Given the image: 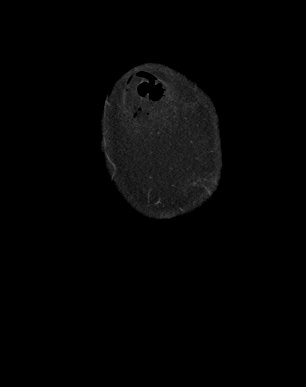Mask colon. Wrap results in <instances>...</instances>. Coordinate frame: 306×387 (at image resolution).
Wrapping results in <instances>:
<instances>
[{
    "instance_id": "colon-1",
    "label": "colon",
    "mask_w": 306,
    "mask_h": 387,
    "mask_svg": "<svg viewBox=\"0 0 306 387\" xmlns=\"http://www.w3.org/2000/svg\"><path fill=\"white\" fill-rule=\"evenodd\" d=\"M141 94L148 101L155 103L159 101L163 95V88L156 80H148L142 83Z\"/></svg>"
}]
</instances>
